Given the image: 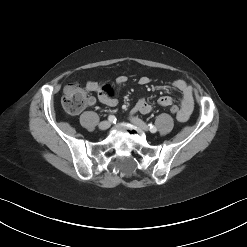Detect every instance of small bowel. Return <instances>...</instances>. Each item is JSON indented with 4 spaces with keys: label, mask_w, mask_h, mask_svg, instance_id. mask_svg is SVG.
Segmentation results:
<instances>
[{
    "label": "small bowel",
    "mask_w": 247,
    "mask_h": 247,
    "mask_svg": "<svg viewBox=\"0 0 247 247\" xmlns=\"http://www.w3.org/2000/svg\"><path fill=\"white\" fill-rule=\"evenodd\" d=\"M127 81L126 76H119L117 78L118 84H124ZM150 82V79L143 76L139 79L141 85H146ZM173 87L181 93V102L179 107V114L177 120L179 122H186L194 108V98L192 87L183 79H176L173 82ZM87 90L95 93L96 96H90L87 100V106L94 105L97 101L100 103L113 107L117 104V100L114 95V90L110 85H102L96 81H88L86 83ZM172 98L170 96H161L158 99V104L162 107H168L172 105ZM152 110V105L148 103L144 98H140L133 107V113L148 114Z\"/></svg>",
    "instance_id": "c3829d8e"
}]
</instances>
